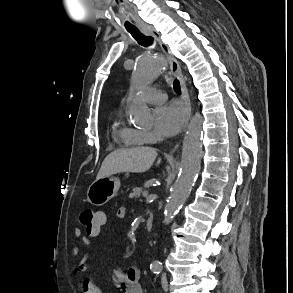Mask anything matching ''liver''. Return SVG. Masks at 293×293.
Instances as JSON below:
<instances>
[{"mask_svg":"<svg viewBox=\"0 0 293 293\" xmlns=\"http://www.w3.org/2000/svg\"><path fill=\"white\" fill-rule=\"evenodd\" d=\"M157 157L154 148L139 147L111 152L103 161L96 180L117 173H143L150 169ZM161 159H158L157 165Z\"/></svg>","mask_w":293,"mask_h":293,"instance_id":"6515ba94","label":"liver"}]
</instances>
